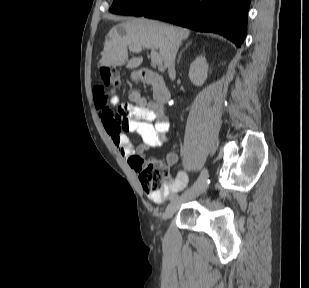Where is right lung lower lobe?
<instances>
[{
	"mask_svg": "<svg viewBox=\"0 0 309 288\" xmlns=\"http://www.w3.org/2000/svg\"><path fill=\"white\" fill-rule=\"evenodd\" d=\"M251 0H165L143 16L200 32H214L243 43Z\"/></svg>",
	"mask_w": 309,
	"mask_h": 288,
	"instance_id": "obj_1",
	"label": "right lung lower lobe"
}]
</instances>
